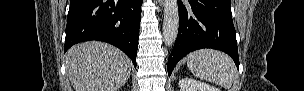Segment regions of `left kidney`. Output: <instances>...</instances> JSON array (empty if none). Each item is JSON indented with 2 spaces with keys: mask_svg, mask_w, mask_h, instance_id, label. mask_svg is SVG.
<instances>
[{
  "mask_svg": "<svg viewBox=\"0 0 304 91\" xmlns=\"http://www.w3.org/2000/svg\"><path fill=\"white\" fill-rule=\"evenodd\" d=\"M180 91H220L216 87L194 80L192 78H183L179 81Z\"/></svg>",
  "mask_w": 304,
  "mask_h": 91,
  "instance_id": "5707ae66",
  "label": "left kidney"
}]
</instances>
